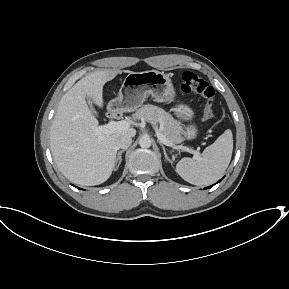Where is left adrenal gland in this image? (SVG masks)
<instances>
[{"label": "left adrenal gland", "instance_id": "left-adrenal-gland-1", "mask_svg": "<svg viewBox=\"0 0 289 289\" xmlns=\"http://www.w3.org/2000/svg\"><path fill=\"white\" fill-rule=\"evenodd\" d=\"M158 143H159L160 146L162 147L165 160L168 161V162H172V161L168 158L167 153H166V150H165V147H164V145L162 144V142L158 140Z\"/></svg>", "mask_w": 289, "mask_h": 289}]
</instances>
